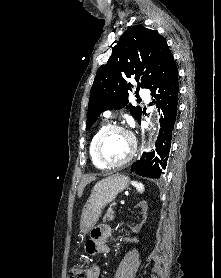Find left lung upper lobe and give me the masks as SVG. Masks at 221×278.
Wrapping results in <instances>:
<instances>
[{
    "label": "left lung upper lobe",
    "mask_w": 221,
    "mask_h": 278,
    "mask_svg": "<svg viewBox=\"0 0 221 278\" xmlns=\"http://www.w3.org/2000/svg\"><path fill=\"white\" fill-rule=\"evenodd\" d=\"M172 59L167 42L158 31L142 25L129 27L108 62L97 71L91 88L86 127H91L101 112L128 104V90L132 86L128 79H135L138 88L149 89ZM128 107L131 115L140 122L142 109L131 104Z\"/></svg>",
    "instance_id": "1"
}]
</instances>
